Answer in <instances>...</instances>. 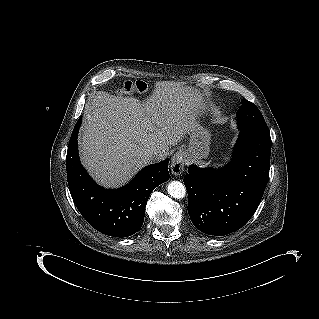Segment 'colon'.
<instances>
[{"mask_svg":"<svg viewBox=\"0 0 319 319\" xmlns=\"http://www.w3.org/2000/svg\"><path fill=\"white\" fill-rule=\"evenodd\" d=\"M148 89L147 84L144 81H126L122 84L119 92L129 93H143Z\"/></svg>","mask_w":319,"mask_h":319,"instance_id":"colon-1","label":"colon"}]
</instances>
